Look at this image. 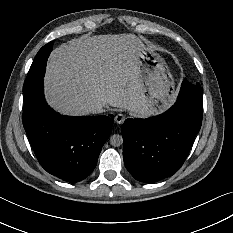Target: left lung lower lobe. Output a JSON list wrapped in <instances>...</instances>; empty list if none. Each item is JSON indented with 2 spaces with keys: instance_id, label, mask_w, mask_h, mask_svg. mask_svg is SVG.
Segmentation results:
<instances>
[{
  "instance_id": "left-lung-lower-lobe-1",
  "label": "left lung lower lobe",
  "mask_w": 233,
  "mask_h": 233,
  "mask_svg": "<svg viewBox=\"0 0 233 233\" xmlns=\"http://www.w3.org/2000/svg\"><path fill=\"white\" fill-rule=\"evenodd\" d=\"M203 90L184 80L176 103L147 119H127L122 127L124 163L138 181L154 183L183 165L200 130Z\"/></svg>"
}]
</instances>
